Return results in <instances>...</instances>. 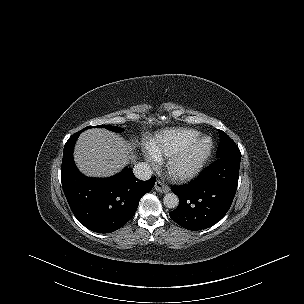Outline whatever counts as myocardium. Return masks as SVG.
Masks as SVG:
<instances>
[{"label": "myocardium", "mask_w": 304, "mask_h": 304, "mask_svg": "<svg viewBox=\"0 0 304 304\" xmlns=\"http://www.w3.org/2000/svg\"><path fill=\"white\" fill-rule=\"evenodd\" d=\"M203 142H207L205 151L190 165L186 164L187 157ZM213 141L209 136H201L194 140L182 151L172 156L167 162L169 176L175 181H188L196 177L211 157Z\"/></svg>", "instance_id": "1"}]
</instances>
